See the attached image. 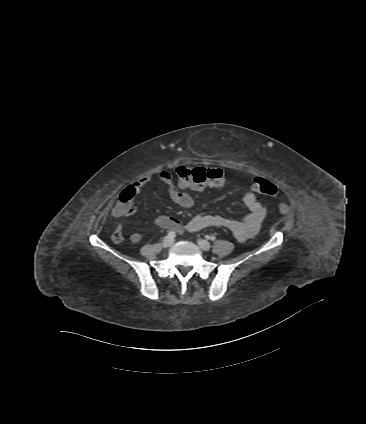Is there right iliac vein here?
<instances>
[{"instance_id": "1", "label": "right iliac vein", "mask_w": 366, "mask_h": 424, "mask_svg": "<svg viewBox=\"0 0 366 424\" xmlns=\"http://www.w3.org/2000/svg\"><path fill=\"white\" fill-rule=\"evenodd\" d=\"M173 242H174V239L172 237L166 236L163 239V246L164 247H170L173 244Z\"/></svg>"}]
</instances>
